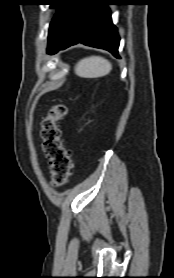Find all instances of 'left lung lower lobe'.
I'll list each match as a JSON object with an SVG mask.
<instances>
[{"label":"left lung lower lobe","mask_w":174,"mask_h":278,"mask_svg":"<svg viewBox=\"0 0 174 278\" xmlns=\"http://www.w3.org/2000/svg\"><path fill=\"white\" fill-rule=\"evenodd\" d=\"M114 0H78L77 8L72 16L68 31L64 38L48 54H55L71 45L83 43L110 51L118 55L120 38L116 27L112 24L110 10Z\"/></svg>","instance_id":"left-lung-lower-lobe-1"}]
</instances>
